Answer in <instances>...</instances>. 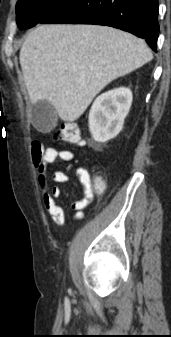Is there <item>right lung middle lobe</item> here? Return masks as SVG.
Returning <instances> with one entry per match:
<instances>
[{
  "label": "right lung middle lobe",
  "instance_id": "obj_1",
  "mask_svg": "<svg viewBox=\"0 0 171 337\" xmlns=\"http://www.w3.org/2000/svg\"><path fill=\"white\" fill-rule=\"evenodd\" d=\"M67 0H19L16 5L17 25L28 29L41 23Z\"/></svg>",
  "mask_w": 171,
  "mask_h": 337
}]
</instances>
